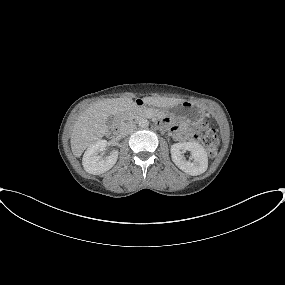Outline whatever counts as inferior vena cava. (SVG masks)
<instances>
[{"label": "inferior vena cava", "mask_w": 285, "mask_h": 285, "mask_svg": "<svg viewBox=\"0 0 285 285\" xmlns=\"http://www.w3.org/2000/svg\"><path fill=\"white\" fill-rule=\"evenodd\" d=\"M135 128H136V125L133 122L125 123L119 129L120 135L127 136L128 134L133 132Z\"/></svg>", "instance_id": "inferior-vena-cava-1"}]
</instances>
